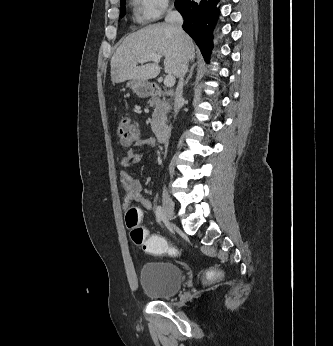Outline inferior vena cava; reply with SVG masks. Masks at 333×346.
<instances>
[{"label": "inferior vena cava", "mask_w": 333, "mask_h": 346, "mask_svg": "<svg viewBox=\"0 0 333 346\" xmlns=\"http://www.w3.org/2000/svg\"><path fill=\"white\" fill-rule=\"evenodd\" d=\"M165 22L170 25V27L181 37L183 35L182 30V24H183V17L181 14L176 10H169L167 12V15L165 17ZM188 68V59L186 57L183 58V61L181 63L180 67V73H179V82L176 88L175 92V101H174V111L175 116L177 115L179 111V107L182 101V93H183V81H184V75L187 72Z\"/></svg>", "instance_id": "1"}]
</instances>
